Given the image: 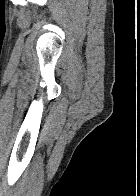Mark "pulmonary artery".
Here are the masks:
<instances>
[{
	"instance_id": "1",
	"label": "pulmonary artery",
	"mask_w": 140,
	"mask_h": 196,
	"mask_svg": "<svg viewBox=\"0 0 140 196\" xmlns=\"http://www.w3.org/2000/svg\"><path fill=\"white\" fill-rule=\"evenodd\" d=\"M29 192H42V191H29Z\"/></svg>"
}]
</instances>
